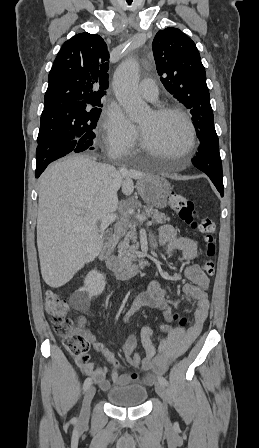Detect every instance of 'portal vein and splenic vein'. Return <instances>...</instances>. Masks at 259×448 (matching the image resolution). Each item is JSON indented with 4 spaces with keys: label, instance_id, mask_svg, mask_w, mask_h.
<instances>
[{
    "label": "portal vein and splenic vein",
    "instance_id": "obj_1",
    "mask_svg": "<svg viewBox=\"0 0 259 448\" xmlns=\"http://www.w3.org/2000/svg\"><path fill=\"white\" fill-rule=\"evenodd\" d=\"M74 214H78V216H81L83 212H80V210H74ZM118 216L117 214H106L104 218L101 220V230H106L108 228L109 224H112V222H115L117 220Z\"/></svg>",
    "mask_w": 259,
    "mask_h": 448
}]
</instances>
